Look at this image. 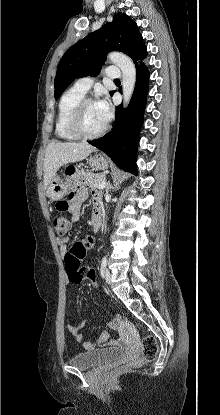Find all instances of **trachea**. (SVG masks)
Segmentation results:
<instances>
[{
    "label": "trachea",
    "instance_id": "obj_1",
    "mask_svg": "<svg viewBox=\"0 0 220 415\" xmlns=\"http://www.w3.org/2000/svg\"><path fill=\"white\" fill-rule=\"evenodd\" d=\"M114 82H119V79H115Z\"/></svg>",
    "mask_w": 220,
    "mask_h": 415
}]
</instances>
